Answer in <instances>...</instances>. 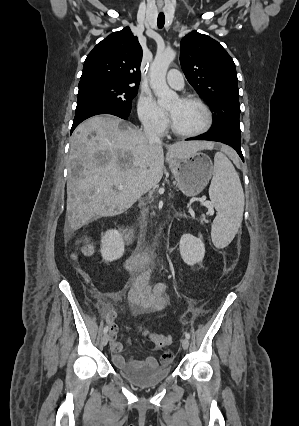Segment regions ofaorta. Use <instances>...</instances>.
<instances>
[{
  "mask_svg": "<svg viewBox=\"0 0 299 426\" xmlns=\"http://www.w3.org/2000/svg\"><path fill=\"white\" fill-rule=\"evenodd\" d=\"M176 52L166 49L157 53L150 67V86L158 99L161 107H166L177 98V94L169 89L166 83V73L170 63L175 59Z\"/></svg>",
  "mask_w": 299,
  "mask_h": 426,
  "instance_id": "obj_1",
  "label": "aorta"
}]
</instances>
